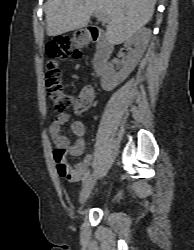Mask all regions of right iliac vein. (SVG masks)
<instances>
[{
    "instance_id": "1",
    "label": "right iliac vein",
    "mask_w": 194,
    "mask_h": 250,
    "mask_svg": "<svg viewBox=\"0 0 194 250\" xmlns=\"http://www.w3.org/2000/svg\"><path fill=\"white\" fill-rule=\"evenodd\" d=\"M96 181H97V176L93 175L88 179V181L84 185V187L81 191V194H80V203L81 204H84L87 201V199L89 198V196H90V194H91V192L96 184Z\"/></svg>"
}]
</instances>
